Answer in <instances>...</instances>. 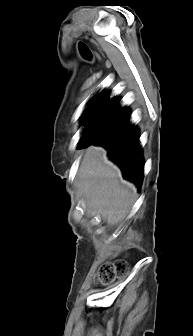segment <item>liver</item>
<instances>
[{
	"label": "liver",
	"instance_id": "obj_1",
	"mask_svg": "<svg viewBox=\"0 0 193 336\" xmlns=\"http://www.w3.org/2000/svg\"><path fill=\"white\" fill-rule=\"evenodd\" d=\"M78 191L87 211L100 214L108 227L119 225L135 203L136 187L122 179L120 169L102 147L90 146L78 170Z\"/></svg>",
	"mask_w": 193,
	"mask_h": 336
}]
</instances>
